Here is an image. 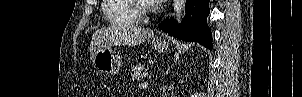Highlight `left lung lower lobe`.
I'll list each match as a JSON object with an SVG mask.
<instances>
[{
	"label": "left lung lower lobe",
	"mask_w": 302,
	"mask_h": 97,
	"mask_svg": "<svg viewBox=\"0 0 302 97\" xmlns=\"http://www.w3.org/2000/svg\"><path fill=\"white\" fill-rule=\"evenodd\" d=\"M210 0H186V15L181 24L174 19H166L159 28L184 41H197L208 49H213L212 33L207 25Z\"/></svg>",
	"instance_id": "1"
}]
</instances>
